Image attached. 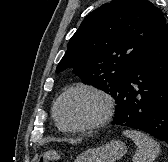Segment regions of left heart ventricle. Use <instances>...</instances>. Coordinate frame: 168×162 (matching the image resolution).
<instances>
[{"instance_id": "obj_1", "label": "left heart ventricle", "mask_w": 168, "mask_h": 162, "mask_svg": "<svg viewBox=\"0 0 168 162\" xmlns=\"http://www.w3.org/2000/svg\"><path fill=\"white\" fill-rule=\"evenodd\" d=\"M103 111L102 101L90 92H75L63 99L59 116L63 124L78 126L97 119Z\"/></svg>"}]
</instances>
